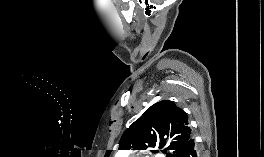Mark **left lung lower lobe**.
<instances>
[{"label": "left lung lower lobe", "instance_id": "left-lung-lower-lobe-1", "mask_svg": "<svg viewBox=\"0 0 264 157\" xmlns=\"http://www.w3.org/2000/svg\"><path fill=\"white\" fill-rule=\"evenodd\" d=\"M180 157H199L196 149V144L193 138H191L187 144L182 148Z\"/></svg>", "mask_w": 264, "mask_h": 157}]
</instances>
